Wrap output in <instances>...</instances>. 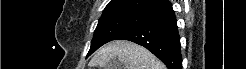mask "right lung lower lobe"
Here are the masks:
<instances>
[{"label": "right lung lower lobe", "mask_w": 246, "mask_h": 69, "mask_svg": "<svg viewBox=\"0 0 246 69\" xmlns=\"http://www.w3.org/2000/svg\"><path fill=\"white\" fill-rule=\"evenodd\" d=\"M172 5L167 2L144 14L142 20L114 40H129L144 46L169 69H182L180 38Z\"/></svg>", "instance_id": "obj_1"}]
</instances>
